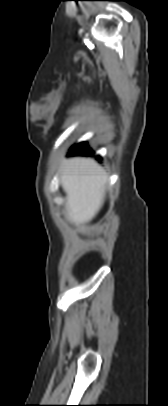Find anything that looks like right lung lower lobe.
Returning a JSON list of instances; mask_svg holds the SVG:
<instances>
[{"label":"right lung lower lobe","mask_w":168,"mask_h":406,"mask_svg":"<svg viewBox=\"0 0 168 406\" xmlns=\"http://www.w3.org/2000/svg\"><path fill=\"white\" fill-rule=\"evenodd\" d=\"M92 153V150L88 147L87 143H80L77 145H74L73 147L70 148L68 154L69 155H85V154H90Z\"/></svg>","instance_id":"right-lung-lower-lobe-1"}]
</instances>
